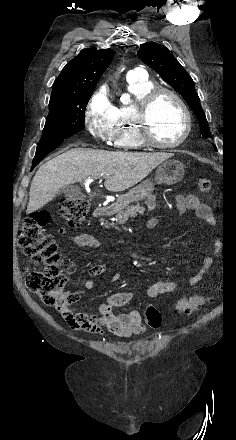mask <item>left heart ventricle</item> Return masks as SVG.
I'll return each instance as SVG.
<instances>
[{
	"mask_svg": "<svg viewBox=\"0 0 236 440\" xmlns=\"http://www.w3.org/2000/svg\"><path fill=\"white\" fill-rule=\"evenodd\" d=\"M150 120L152 134L161 143L178 140L185 129L183 112L169 95H162L156 100L150 113Z\"/></svg>",
	"mask_w": 236,
	"mask_h": 440,
	"instance_id": "obj_1",
	"label": "left heart ventricle"
}]
</instances>
